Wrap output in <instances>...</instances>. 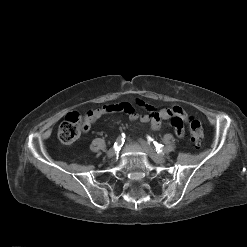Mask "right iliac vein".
I'll list each match as a JSON object with an SVG mask.
<instances>
[{
	"instance_id": "obj_1",
	"label": "right iliac vein",
	"mask_w": 247,
	"mask_h": 247,
	"mask_svg": "<svg viewBox=\"0 0 247 247\" xmlns=\"http://www.w3.org/2000/svg\"><path fill=\"white\" fill-rule=\"evenodd\" d=\"M115 154H116V150L114 148L109 149L107 152V156L109 158L113 157Z\"/></svg>"
}]
</instances>
